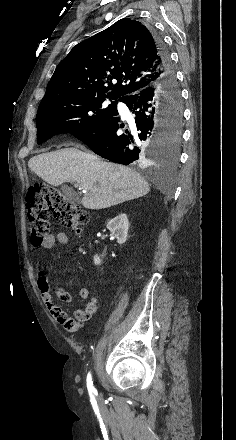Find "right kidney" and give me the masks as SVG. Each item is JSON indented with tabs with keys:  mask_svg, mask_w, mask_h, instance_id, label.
<instances>
[{
	"mask_svg": "<svg viewBox=\"0 0 236 440\" xmlns=\"http://www.w3.org/2000/svg\"><path fill=\"white\" fill-rule=\"evenodd\" d=\"M107 229L114 235L119 244H123L126 242L128 229H129V221L127 215L124 213L119 214L114 217L107 223ZM94 264L100 265L101 259L98 255L94 256Z\"/></svg>",
	"mask_w": 236,
	"mask_h": 440,
	"instance_id": "1",
	"label": "right kidney"
}]
</instances>
